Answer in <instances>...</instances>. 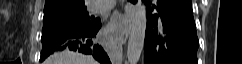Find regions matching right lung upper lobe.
<instances>
[{
	"mask_svg": "<svg viewBox=\"0 0 242 64\" xmlns=\"http://www.w3.org/2000/svg\"><path fill=\"white\" fill-rule=\"evenodd\" d=\"M85 6L84 0H46L44 13L62 9H74Z\"/></svg>",
	"mask_w": 242,
	"mask_h": 64,
	"instance_id": "obj_1",
	"label": "right lung upper lobe"
}]
</instances>
